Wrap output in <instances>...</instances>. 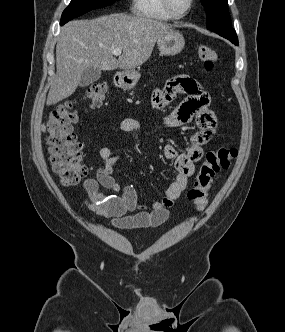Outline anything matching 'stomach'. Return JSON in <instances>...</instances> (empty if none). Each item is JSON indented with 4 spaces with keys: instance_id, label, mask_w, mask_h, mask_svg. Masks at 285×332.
Listing matches in <instances>:
<instances>
[{
    "instance_id": "obj_1",
    "label": "stomach",
    "mask_w": 285,
    "mask_h": 332,
    "mask_svg": "<svg viewBox=\"0 0 285 332\" xmlns=\"http://www.w3.org/2000/svg\"><path fill=\"white\" fill-rule=\"evenodd\" d=\"M158 49L163 55H175L182 51L185 45L184 37L181 33L172 31L158 39ZM139 71L135 69L125 70L118 75V84L123 89H132L140 79Z\"/></svg>"
}]
</instances>
